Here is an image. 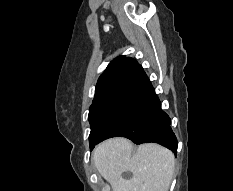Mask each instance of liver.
<instances>
[{"mask_svg":"<svg viewBox=\"0 0 233 191\" xmlns=\"http://www.w3.org/2000/svg\"><path fill=\"white\" fill-rule=\"evenodd\" d=\"M92 159L112 191H168L175 168L174 154L167 148L147 143L133 153V143L121 137L97 145ZM125 171L132 172L131 179L122 177Z\"/></svg>","mask_w":233,"mask_h":191,"instance_id":"liver-1","label":"liver"}]
</instances>
